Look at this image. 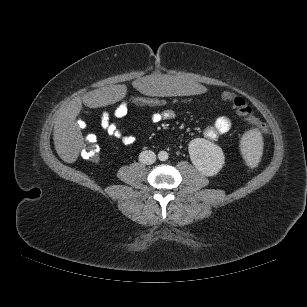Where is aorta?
Masks as SVG:
<instances>
[{
  "label": "aorta",
  "instance_id": "aorta-1",
  "mask_svg": "<svg viewBox=\"0 0 307 307\" xmlns=\"http://www.w3.org/2000/svg\"><path fill=\"white\" fill-rule=\"evenodd\" d=\"M168 157H169V154L166 152V151H160L159 153H158V159L160 160V161H166L167 159H168Z\"/></svg>",
  "mask_w": 307,
  "mask_h": 307
}]
</instances>
